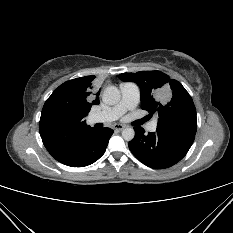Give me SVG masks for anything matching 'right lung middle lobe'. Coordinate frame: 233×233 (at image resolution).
I'll return each mask as SVG.
<instances>
[{
  "label": "right lung middle lobe",
  "mask_w": 233,
  "mask_h": 233,
  "mask_svg": "<svg viewBox=\"0 0 233 233\" xmlns=\"http://www.w3.org/2000/svg\"><path fill=\"white\" fill-rule=\"evenodd\" d=\"M88 112L84 102L58 87L43 106L40 134L66 133L79 129Z\"/></svg>",
  "instance_id": "obj_1"
}]
</instances>
